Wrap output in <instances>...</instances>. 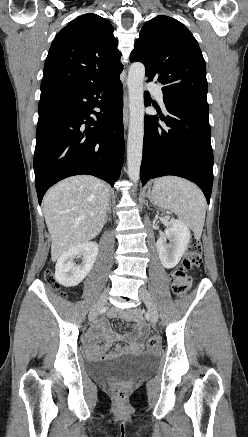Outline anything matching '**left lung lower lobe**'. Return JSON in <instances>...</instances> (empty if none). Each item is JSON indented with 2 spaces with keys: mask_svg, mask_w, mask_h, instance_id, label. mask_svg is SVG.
<instances>
[{
  "mask_svg": "<svg viewBox=\"0 0 248 437\" xmlns=\"http://www.w3.org/2000/svg\"><path fill=\"white\" fill-rule=\"evenodd\" d=\"M150 105L149 92L144 93ZM169 113L160 116L169 129L158 124L157 116H145V135L140 178L175 175L196 183L209 204L213 184V152L209 106L199 102L164 101Z\"/></svg>",
  "mask_w": 248,
  "mask_h": 437,
  "instance_id": "obj_1",
  "label": "left lung lower lobe"
}]
</instances>
